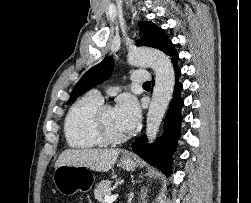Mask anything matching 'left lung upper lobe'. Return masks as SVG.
<instances>
[{
    "label": "left lung upper lobe",
    "mask_w": 251,
    "mask_h": 203,
    "mask_svg": "<svg viewBox=\"0 0 251 203\" xmlns=\"http://www.w3.org/2000/svg\"><path fill=\"white\" fill-rule=\"evenodd\" d=\"M138 25L142 37L136 41V45L154 47L164 52L171 42L164 30L158 28L151 21H141ZM113 68L114 62L109 56H106L99 64L90 68L75 85L67 104L74 101L86 90L107 80L112 74Z\"/></svg>",
    "instance_id": "left-lung-upper-lobe-1"
}]
</instances>
